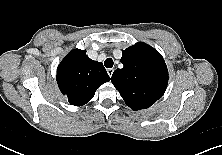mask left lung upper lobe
I'll return each instance as SVG.
<instances>
[{
    "label": "left lung upper lobe",
    "mask_w": 222,
    "mask_h": 155,
    "mask_svg": "<svg viewBox=\"0 0 222 155\" xmlns=\"http://www.w3.org/2000/svg\"><path fill=\"white\" fill-rule=\"evenodd\" d=\"M121 63L123 68L114 71L111 81L131 109L149 108L162 97L168 70L156 49L138 42L122 51Z\"/></svg>",
    "instance_id": "left-lung-upper-lobe-1"
}]
</instances>
